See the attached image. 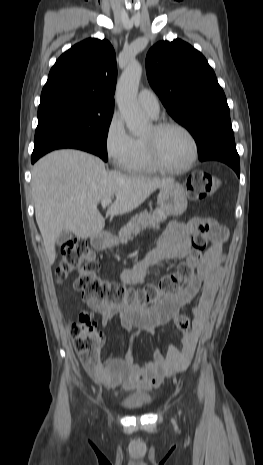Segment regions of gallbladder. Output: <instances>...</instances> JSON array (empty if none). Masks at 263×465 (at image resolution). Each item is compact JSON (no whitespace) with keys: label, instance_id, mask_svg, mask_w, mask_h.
I'll list each match as a JSON object with an SVG mask.
<instances>
[{"label":"gallbladder","instance_id":"gallbladder-1","mask_svg":"<svg viewBox=\"0 0 263 465\" xmlns=\"http://www.w3.org/2000/svg\"><path fill=\"white\" fill-rule=\"evenodd\" d=\"M72 236L73 235L71 231H62L57 238V245L61 246L62 244L70 240Z\"/></svg>","mask_w":263,"mask_h":465}]
</instances>
